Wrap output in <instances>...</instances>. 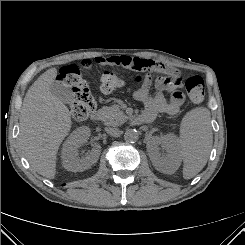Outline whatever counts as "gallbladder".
<instances>
[{
    "label": "gallbladder",
    "instance_id": "gallbladder-1",
    "mask_svg": "<svg viewBox=\"0 0 245 245\" xmlns=\"http://www.w3.org/2000/svg\"><path fill=\"white\" fill-rule=\"evenodd\" d=\"M51 92L64 103H71L74 100V94L71 87L61 82H54L51 85Z\"/></svg>",
    "mask_w": 245,
    "mask_h": 245
}]
</instances>
